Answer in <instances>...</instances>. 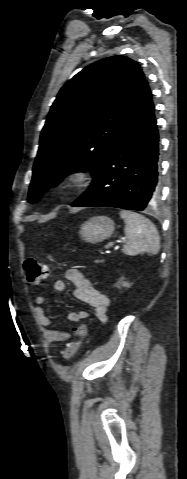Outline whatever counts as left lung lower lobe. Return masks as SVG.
Instances as JSON below:
<instances>
[{
    "mask_svg": "<svg viewBox=\"0 0 187 479\" xmlns=\"http://www.w3.org/2000/svg\"><path fill=\"white\" fill-rule=\"evenodd\" d=\"M152 95L142 82L115 145L73 207L144 210L158 195L159 134Z\"/></svg>",
    "mask_w": 187,
    "mask_h": 479,
    "instance_id": "obj_1",
    "label": "left lung lower lobe"
}]
</instances>
